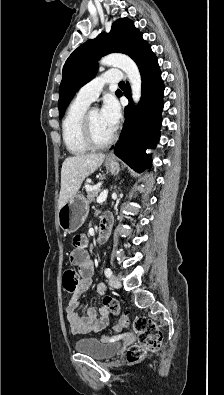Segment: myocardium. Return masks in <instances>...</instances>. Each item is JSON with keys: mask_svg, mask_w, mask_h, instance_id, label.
Returning a JSON list of instances; mask_svg holds the SVG:
<instances>
[{"mask_svg": "<svg viewBox=\"0 0 224 395\" xmlns=\"http://www.w3.org/2000/svg\"><path fill=\"white\" fill-rule=\"evenodd\" d=\"M92 110H87L82 118V124H81V130H82V136L85 141V143L89 146V148L92 149H103L111 145L115 139H116V132L112 134V136L104 141V142H99L95 139L93 132H92V127H91V121H90V114Z\"/></svg>", "mask_w": 224, "mask_h": 395, "instance_id": "1", "label": "myocardium"}]
</instances>
